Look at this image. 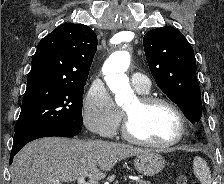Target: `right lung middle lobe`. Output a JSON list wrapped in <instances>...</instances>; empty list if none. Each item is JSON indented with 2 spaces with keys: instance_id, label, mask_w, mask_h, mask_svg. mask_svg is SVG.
I'll return each instance as SVG.
<instances>
[{
  "instance_id": "dd1d6c3e",
  "label": "right lung middle lobe",
  "mask_w": 224,
  "mask_h": 184,
  "mask_svg": "<svg viewBox=\"0 0 224 184\" xmlns=\"http://www.w3.org/2000/svg\"><path fill=\"white\" fill-rule=\"evenodd\" d=\"M84 86L53 82L27 85L14 137L44 125L81 126Z\"/></svg>"
}]
</instances>
